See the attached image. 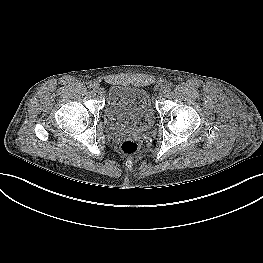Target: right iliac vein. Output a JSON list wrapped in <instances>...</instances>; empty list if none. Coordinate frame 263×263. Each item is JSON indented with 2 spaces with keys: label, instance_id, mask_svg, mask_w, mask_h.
<instances>
[{
  "label": "right iliac vein",
  "instance_id": "1",
  "mask_svg": "<svg viewBox=\"0 0 263 263\" xmlns=\"http://www.w3.org/2000/svg\"><path fill=\"white\" fill-rule=\"evenodd\" d=\"M95 89H96V92H98L100 94L104 93V89L103 88H100V87L97 86Z\"/></svg>",
  "mask_w": 263,
  "mask_h": 263
}]
</instances>
